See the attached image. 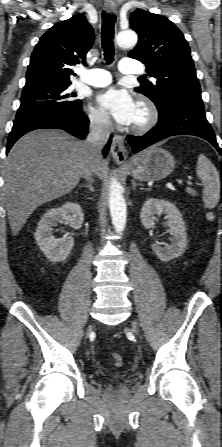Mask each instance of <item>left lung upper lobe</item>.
I'll return each mask as SVG.
<instances>
[{
	"instance_id": "obj_1",
	"label": "left lung upper lobe",
	"mask_w": 222,
	"mask_h": 447,
	"mask_svg": "<svg viewBox=\"0 0 222 447\" xmlns=\"http://www.w3.org/2000/svg\"><path fill=\"white\" fill-rule=\"evenodd\" d=\"M130 26L138 33L136 47L128 54L146 64L156 82H145L135 91L146 95L163 110L170 102L204 109L190 48L181 31L166 17L137 9Z\"/></svg>"
}]
</instances>
